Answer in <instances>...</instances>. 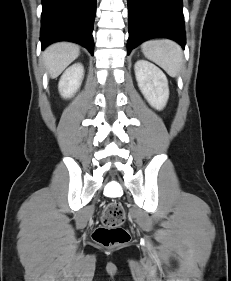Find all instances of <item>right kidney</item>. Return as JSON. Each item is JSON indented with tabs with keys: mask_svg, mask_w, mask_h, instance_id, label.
Instances as JSON below:
<instances>
[{
	"mask_svg": "<svg viewBox=\"0 0 231 281\" xmlns=\"http://www.w3.org/2000/svg\"><path fill=\"white\" fill-rule=\"evenodd\" d=\"M83 66L80 63L74 64L63 73L58 88L64 98L72 97L81 85L83 78Z\"/></svg>",
	"mask_w": 231,
	"mask_h": 281,
	"instance_id": "1",
	"label": "right kidney"
}]
</instances>
